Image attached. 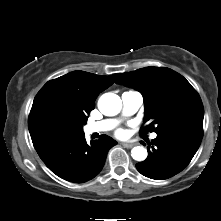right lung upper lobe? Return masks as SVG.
Segmentation results:
<instances>
[{"label": "right lung upper lobe", "instance_id": "cb5924a9", "mask_svg": "<svg viewBox=\"0 0 221 221\" xmlns=\"http://www.w3.org/2000/svg\"><path fill=\"white\" fill-rule=\"evenodd\" d=\"M118 74L96 75L73 71L47 82L37 93L28 118L33 144L45 139L38 132V120L51 108H63L87 119L99 93L110 87Z\"/></svg>", "mask_w": 221, "mask_h": 221}]
</instances>
